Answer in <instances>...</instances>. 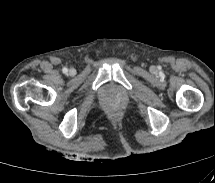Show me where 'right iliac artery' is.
Segmentation results:
<instances>
[{
  "label": "right iliac artery",
  "mask_w": 215,
  "mask_h": 183,
  "mask_svg": "<svg viewBox=\"0 0 215 183\" xmlns=\"http://www.w3.org/2000/svg\"><path fill=\"white\" fill-rule=\"evenodd\" d=\"M62 71H63V73H67L68 69L67 68H63Z\"/></svg>",
  "instance_id": "obj_1"
}]
</instances>
